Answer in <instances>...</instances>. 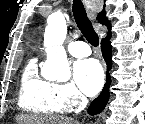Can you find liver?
Listing matches in <instances>:
<instances>
[{"mask_svg":"<svg viewBox=\"0 0 145 124\" xmlns=\"http://www.w3.org/2000/svg\"><path fill=\"white\" fill-rule=\"evenodd\" d=\"M17 124H73L64 117L20 115L16 118Z\"/></svg>","mask_w":145,"mask_h":124,"instance_id":"obj_1","label":"liver"}]
</instances>
